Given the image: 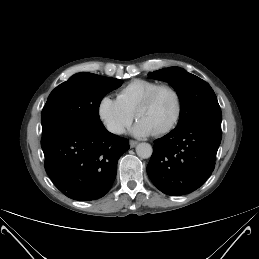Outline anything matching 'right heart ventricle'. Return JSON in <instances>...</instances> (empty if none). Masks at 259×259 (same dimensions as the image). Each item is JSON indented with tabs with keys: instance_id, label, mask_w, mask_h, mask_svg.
Instances as JSON below:
<instances>
[{
	"instance_id": "e07e8e85",
	"label": "right heart ventricle",
	"mask_w": 259,
	"mask_h": 259,
	"mask_svg": "<svg viewBox=\"0 0 259 259\" xmlns=\"http://www.w3.org/2000/svg\"><path fill=\"white\" fill-rule=\"evenodd\" d=\"M157 85L158 83L152 80H131L118 91L116 99L127 111L135 115L145 96Z\"/></svg>"
}]
</instances>
